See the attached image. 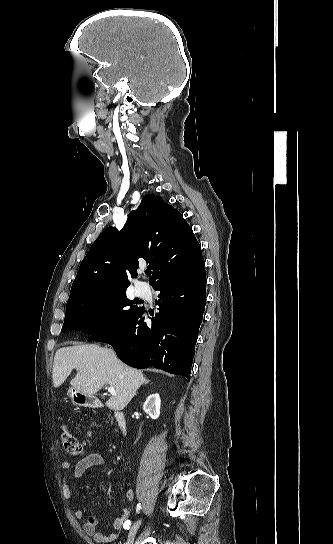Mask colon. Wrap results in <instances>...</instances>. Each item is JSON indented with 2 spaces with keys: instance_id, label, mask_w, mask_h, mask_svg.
I'll return each mask as SVG.
<instances>
[{
  "instance_id": "obj_1",
  "label": "colon",
  "mask_w": 333,
  "mask_h": 544,
  "mask_svg": "<svg viewBox=\"0 0 333 544\" xmlns=\"http://www.w3.org/2000/svg\"><path fill=\"white\" fill-rule=\"evenodd\" d=\"M61 442L66 452L78 455L83 452L84 442L76 438L68 429L62 427Z\"/></svg>"
}]
</instances>
